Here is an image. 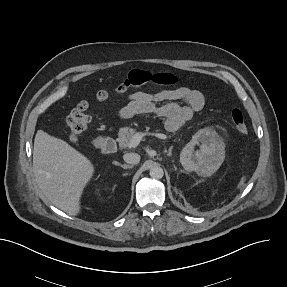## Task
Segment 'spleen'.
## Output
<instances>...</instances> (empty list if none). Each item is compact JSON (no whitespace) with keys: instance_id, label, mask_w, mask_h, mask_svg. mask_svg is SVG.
<instances>
[{"instance_id":"obj_1","label":"spleen","mask_w":287,"mask_h":287,"mask_svg":"<svg viewBox=\"0 0 287 287\" xmlns=\"http://www.w3.org/2000/svg\"><path fill=\"white\" fill-rule=\"evenodd\" d=\"M246 177L242 176L239 183H238V188L242 187L245 183Z\"/></svg>"}]
</instances>
